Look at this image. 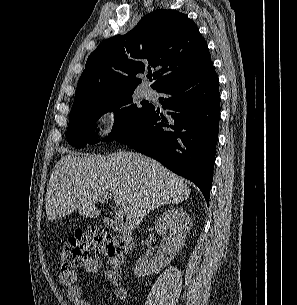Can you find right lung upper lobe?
<instances>
[{
  "instance_id": "obj_1",
  "label": "right lung upper lobe",
  "mask_w": 297,
  "mask_h": 305,
  "mask_svg": "<svg viewBox=\"0 0 297 305\" xmlns=\"http://www.w3.org/2000/svg\"><path fill=\"white\" fill-rule=\"evenodd\" d=\"M213 67L207 43L185 14L159 9L127 34L102 42L88 57L74 103L135 90L136 78L156 68L151 85L159 89L193 79Z\"/></svg>"
}]
</instances>
